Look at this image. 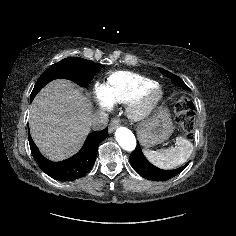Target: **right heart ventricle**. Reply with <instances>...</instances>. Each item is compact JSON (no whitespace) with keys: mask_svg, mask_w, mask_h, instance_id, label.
Masks as SVG:
<instances>
[{"mask_svg":"<svg viewBox=\"0 0 236 236\" xmlns=\"http://www.w3.org/2000/svg\"><path fill=\"white\" fill-rule=\"evenodd\" d=\"M155 84V80L144 75L116 71L108 76L105 83V99L110 105L127 104L143 90Z\"/></svg>","mask_w":236,"mask_h":236,"instance_id":"e07e8e85","label":"right heart ventricle"}]
</instances>
